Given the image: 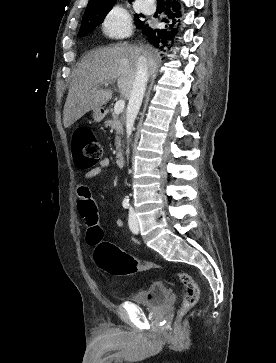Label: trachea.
<instances>
[{
  "label": "trachea",
  "instance_id": "1",
  "mask_svg": "<svg viewBox=\"0 0 276 363\" xmlns=\"http://www.w3.org/2000/svg\"><path fill=\"white\" fill-rule=\"evenodd\" d=\"M157 4H164V0H157Z\"/></svg>",
  "mask_w": 276,
  "mask_h": 363
}]
</instances>
